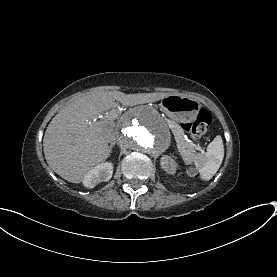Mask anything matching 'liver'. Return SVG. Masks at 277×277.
Returning <instances> with one entry per match:
<instances>
[{"mask_svg":"<svg viewBox=\"0 0 277 277\" xmlns=\"http://www.w3.org/2000/svg\"><path fill=\"white\" fill-rule=\"evenodd\" d=\"M168 95L96 91L79 97L60 110L45 131L43 149L48 165L68 182L80 183L93 166L110 156L109 144L119 137L111 117L97 121V116L117 107V102L135 106L156 102Z\"/></svg>","mask_w":277,"mask_h":277,"instance_id":"liver-1","label":"liver"}]
</instances>
